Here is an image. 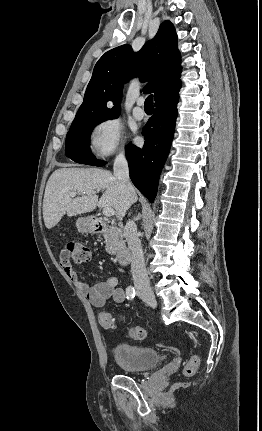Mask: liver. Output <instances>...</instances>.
I'll list each match as a JSON object with an SVG mask.
<instances>
[{"label":"liver","instance_id":"liver-1","mask_svg":"<svg viewBox=\"0 0 262 431\" xmlns=\"http://www.w3.org/2000/svg\"><path fill=\"white\" fill-rule=\"evenodd\" d=\"M89 191H104L98 200ZM70 192H76L72 197ZM137 200L135 190L128 194L121 181L104 169L61 168L50 176L43 200V218L48 229L58 224L67 213L69 217L92 212L99 208L112 207L118 217H123Z\"/></svg>","mask_w":262,"mask_h":431}]
</instances>
